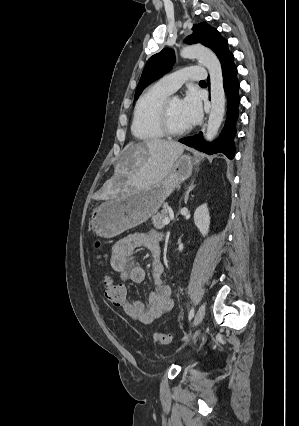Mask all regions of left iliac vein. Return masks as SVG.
<instances>
[{"label":"left iliac vein","mask_w":299,"mask_h":426,"mask_svg":"<svg viewBox=\"0 0 299 426\" xmlns=\"http://www.w3.org/2000/svg\"><path fill=\"white\" fill-rule=\"evenodd\" d=\"M205 310H206V306H205L204 303H202L199 306V308H198V310L195 314L194 321H193V327H195V326H197L198 324L201 323V321L203 320V318L205 316Z\"/></svg>","instance_id":"1"}]
</instances>
